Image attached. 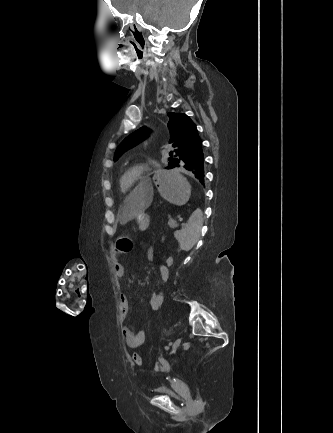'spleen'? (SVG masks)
<instances>
[{"instance_id": "1", "label": "spleen", "mask_w": 333, "mask_h": 433, "mask_svg": "<svg viewBox=\"0 0 333 433\" xmlns=\"http://www.w3.org/2000/svg\"><path fill=\"white\" fill-rule=\"evenodd\" d=\"M192 216L189 218L188 225L174 233L176 240L180 244V248L184 251H189L197 243L200 238L202 227L203 213L199 206L192 209Z\"/></svg>"}]
</instances>
